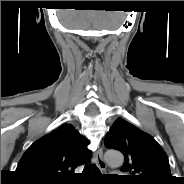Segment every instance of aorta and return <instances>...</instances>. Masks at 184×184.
Listing matches in <instances>:
<instances>
[{
  "label": "aorta",
  "instance_id": "aorta-1",
  "mask_svg": "<svg viewBox=\"0 0 184 184\" xmlns=\"http://www.w3.org/2000/svg\"><path fill=\"white\" fill-rule=\"evenodd\" d=\"M105 159L111 166H120L123 164L124 157L119 151L109 150L105 153Z\"/></svg>",
  "mask_w": 184,
  "mask_h": 184
}]
</instances>
